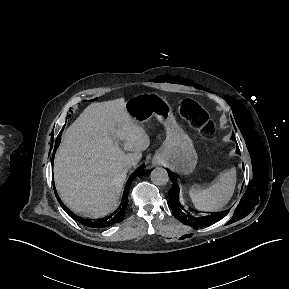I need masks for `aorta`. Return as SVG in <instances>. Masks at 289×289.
Instances as JSON below:
<instances>
[{
	"mask_svg": "<svg viewBox=\"0 0 289 289\" xmlns=\"http://www.w3.org/2000/svg\"><path fill=\"white\" fill-rule=\"evenodd\" d=\"M150 178L153 184L159 185V186L165 185L169 181L167 170L161 167L155 168L151 172Z\"/></svg>",
	"mask_w": 289,
	"mask_h": 289,
	"instance_id": "762f6f07",
	"label": "aorta"
}]
</instances>
